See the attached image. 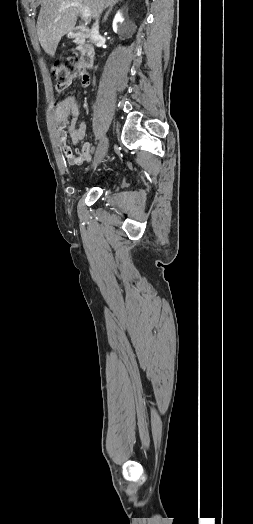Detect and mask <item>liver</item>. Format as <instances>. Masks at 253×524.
Returning a JSON list of instances; mask_svg holds the SVG:
<instances>
[{
  "instance_id": "6515ba94",
  "label": "liver",
  "mask_w": 253,
  "mask_h": 524,
  "mask_svg": "<svg viewBox=\"0 0 253 524\" xmlns=\"http://www.w3.org/2000/svg\"><path fill=\"white\" fill-rule=\"evenodd\" d=\"M75 1L89 7L91 17L96 18L104 8L117 0H42L37 19V35L42 48L50 56L55 54L61 38L76 25L78 9H61L63 5Z\"/></svg>"
}]
</instances>
